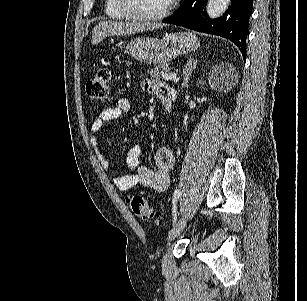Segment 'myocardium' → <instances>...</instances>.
<instances>
[{"label": "myocardium", "instance_id": "myocardium-1", "mask_svg": "<svg viewBox=\"0 0 307 301\" xmlns=\"http://www.w3.org/2000/svg\"><path fill=\"white\" fill-rule=\"evenodd\" d=\"M133 0H119V15L117 17H127L128 22H161L162 17H167L170 11L173 1L168 0L161 8V11H132L131 3ZM129 10V11H127Z\"/></svg>", "mask_w": 307, "mask_h": 301}]
</instances>
